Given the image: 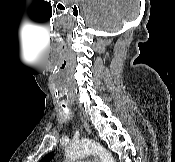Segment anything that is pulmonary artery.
Segmentation results:
<instances>
[{
    "label": "pulmonary artery",
    "instance_id": "pulmonary-artery-1",
    "mask_svg": "<svg viewBox=\"0 0 175 162\" xmlns=\"http://www.w3.org/2000/svg\"><path fill=\"white\" fill-rule=\"evenodd\" d=\"M71 162H84V161L83 160H73ZM85 162H87V161H85Z\"/></svg>",
    "mask_w": 175,
    "mask_h": 162
}]
</instances>
